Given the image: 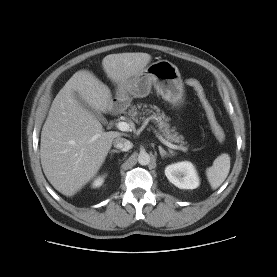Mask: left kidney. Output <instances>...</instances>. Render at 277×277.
Instances as JSON below:
<instances>
[{"label": "left kidney", "mask_w": 277, "mask_h": 277, "mask_svg": "<svg viewBox=\"0 0 277 277\" xmlns=\"http://www.w3.org/2000/svg\"><path fill=\"white\" fill-rule=\"evenodd\" d=\"M167 179L179 189H195L199 186V177L191 162L182 161L165 168Z\"/></svg>", "instance_id": "5707ae66"}]
</instances>
